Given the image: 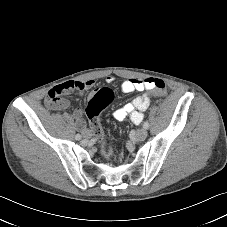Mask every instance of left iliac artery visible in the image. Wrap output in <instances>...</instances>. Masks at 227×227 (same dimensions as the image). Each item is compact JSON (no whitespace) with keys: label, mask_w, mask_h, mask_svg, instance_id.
<instances>
[{"label":"left iliac artery","mask_w":227,"mask_h":227,"mask_svg":"<svg viewBox=\"0 0 227 227\" xmlns=\"http://www.w3.org/2000/svg\"><path fill=\"white\" fill-rule=\"evenodd\" d=\"M148 127H149V123L148 122H144L143 128L148 129Z\"/></svg>","instance_id":"left-iliac-artery-1"}]
</instances>
